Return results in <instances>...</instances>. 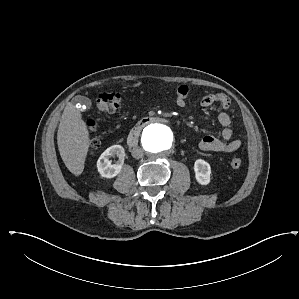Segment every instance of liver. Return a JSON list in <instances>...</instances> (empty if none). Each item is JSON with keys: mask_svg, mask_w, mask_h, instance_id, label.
<instances>
[{"mask_svg": "<svg viewBox=\"0 0 299 299\" xmlns=\"http://www.w3.org/2000/svg\"><path fill=\"white\" fill-rule=\"evenodd\" d=\"M57 144L68 170L76 176L81 175L90 146V137L81 112L70 102L60 120Z\"/></svg>", "mask_w": 299, "mask_h": 299, "instance_id": "obj_1", "label": "liver"}]
</instances>
